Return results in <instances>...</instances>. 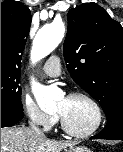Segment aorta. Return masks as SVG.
<instances>
[{
  "instance_id": "obj_1",
  "label": "aorta",
  "mask_w": 123,
  "mask_h": 152,
  "mask_svg": "<svg viewBox=\"0 0 123 152\" xmlns=\"http://www.w3.org/2000/svg\"><path fill=\"white\" fill-rule=\"evenodd\" d=\"M64 33L65 25L61 20H54L52 23L42 27L33 42L32 61L34 63L38 62L49 55L62 41ZM32 91L42 111L47 112L56 109L58 96L52 87L33 82Z\"/></svg>"
}]
</instances>
